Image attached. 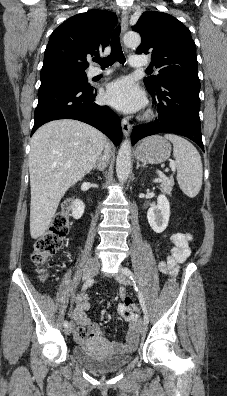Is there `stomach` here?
Listing matches in <instances>:
<instances>
[{
	"instance_id": "stomach-1",
	"label": "stomach",
	"mask_w": 227,
	"mask_h": 396,
	"mask_svg": "<svg viewBox=\"0 0 227 396\" xmlns=\"http://www.w3.org/2000/svg\"><path fill=\"white\" fill-rule=\"evenodd\" d=\"M171 154V145L160 136L144 139L135 150L138 161L149 164L165 162Z\"/></svg>"
}]
</instances>
